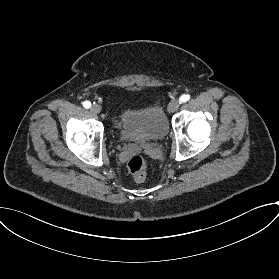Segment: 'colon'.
Returning a JSON list of instances; mask_svg holds the SVG:
<instances>
[{
  "mask_svg": "<svg viewBox=\"0 0 279 279\" xmlns=\"http://www.w3.org/2000/svg\"><path fill=\"white\" fill-rule=\"evenodd\" d=\"M126 168L138 182H142L146 178L148 161L144 156L136 155L128 161Z\"/></svg>",
  "mask_w": 279,
  "mask_h": 279,
  "instance_id": "obj_1",
  "label": "colon"
}]
</instances>
